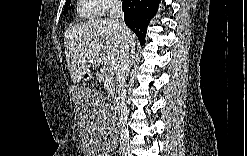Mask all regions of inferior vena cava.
<instances>
[{"label":"inferior vena cava","instance_id":"602c4592","mask_svg":"<svg viewBox=\"0 0 247 156\" xmlns=\"http://www.w3.org/2000/svg\"><path fill=\"white\" fill-rule=\"evenodd\" d=\"M110 20L120 31L123 39V52L118 66L116 94L114 96V104L116 105V113L119 118V128L121 137L127 134V100H126V80L129 74L130 66L135 53V43L131 36V31L124 22V13L120 0H112L109 3Z\"/></svg>","mask_w":247,"mask_h":156}]
</instances>
